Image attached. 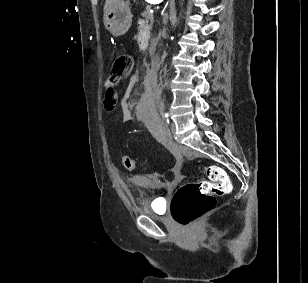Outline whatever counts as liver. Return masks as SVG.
I'll use <instances>...</instances> for the list:
<instances>
[{"mask_svg": "<svg viewBox=\"0 0 308 283\" xmlns=\"http://www.w3.org/2000/svg\"><path fill=\"white\" fill-rule=\"evenodd\" d=\"M120 0H106L105 1V6H104V11L108 9L109 6L118 3Z\"/></svg>", "mask_w": 308, "mask_h": 283, "instance_id": "1", "label": "liver"}]
</instances>
